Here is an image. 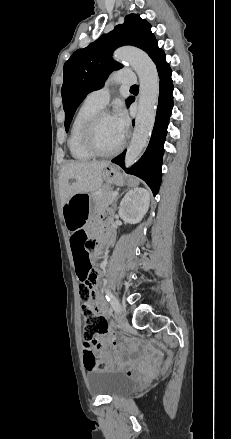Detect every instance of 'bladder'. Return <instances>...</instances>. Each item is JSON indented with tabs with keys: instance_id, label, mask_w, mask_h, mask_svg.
<instances>
[{
	"instance_id": "31cf9c89",
	"label": "bladder",
	"mask_w": 231,
	"mask_h": 439,
	"mask_svg": "<svg viewBox=\"0 0 231 439\" xmlns=\"http://www.w3.org/2000/svg\"><path fill=\"white\" fill-rule=\"evenodd\" d=\"M86 382L92 395L109 397L130 394L139 386L136 378L112 368L88 370Z\"/></svg>"
}]
</instances>
